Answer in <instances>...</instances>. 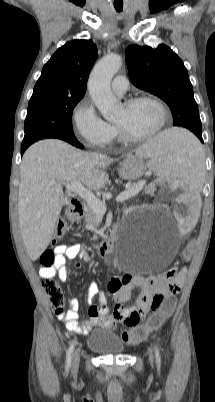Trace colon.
Returning a JSON list of instances; mask_svg holds the SVG:
<instances>
[{
    "label": "colon",
    "instance_id": "colon-1",
    "mask_svg": "<svg viewBox=\"0 0 215 402\" xmlns=\"http://www.w3.org/2000/svg\"><path fill=\"white\" fill-rule=\"evenodd\" d=\"M66 232V223L62 220H59L55 228V239L62 238L66 234ZM189 243V245H185L182 248V251L180 253L181 260H192L193 258V251L197 248L198 242L196 239L193 238L190 240ZM55 261V254L51 250L45 251L40 258L41 265L44 268L53 267ZM176 274L177 271L175 269H169L161 275L166 279H171ZM42 284L50 298V302L55 314L58 316L65 314V297L59 284L51 277L43 278ZM174 303L175 300L172 295H155L153 298L152 309L155 310L157 308H160L158 313L153 315L149 319L147 324L136 326L130 330L124 331L122 333L123 341L128 344H136L144 340L150 332L158 329L163 321L170 316L174 308ZM133 320L137 321L138 318H134Z\"/></svg>",
    "mask_w": 215,
    "mask_h": 402
}]
</instances>
